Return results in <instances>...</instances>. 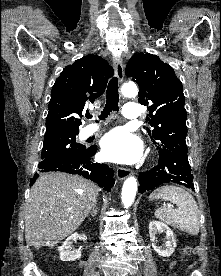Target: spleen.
Wrapping results in <instances>:
<instances>
[{
	"instance_id": "obj_1",
	"label": "spleen",
	"mask_w": 221,
	"mask_h": 276,
	"mask_svg": "<svg viewBox=\"0 0 221 276\" xmlns=\"http://www.w3.org/2000/svg\"><path fill=\"white\" fill-rule=\"evenodd\" d=\"M149 198L150 200L163 199L177 205L176 209L171 207L156 209L154 214L158 219L190 235L199 233L198 206L193 196L185 189L177 186H162L155 189Z\"/></svg>"
}]
</instances>
